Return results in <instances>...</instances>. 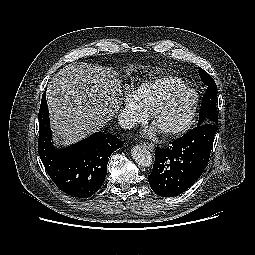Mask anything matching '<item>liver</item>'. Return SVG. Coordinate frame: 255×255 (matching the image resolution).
Instances as JSON below:
<instances>
[{
  "label": "liver",
  "instance_id": "6515ba94",
  "mask_svg": "<svg viewBox=\"0 0 255 255\" xmlns=\"http://www.w3.org/2000/svg\"><path fill=\"white\" fill-rule=\"evenodd\" d=\"M121 88L111 68L79 62L59 70L46 93L58 139L70 144L104 127L119 109Z\"/></svg>",
  "mask_w": 255,
  "mask_h": 255
}]
</instances>
